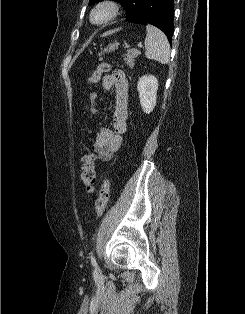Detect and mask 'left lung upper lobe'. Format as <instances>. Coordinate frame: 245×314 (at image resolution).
I'll use <instances>...</instances> for the list:
<instances>
[{"label":"left lung upper lobe","mask_w":245,"mask_h":314,"mask_svg":"<svg viewBox=\"0 0 245 314\" xmlns=\"http://www.w3.org/2000/svg\"><path fill=\"white\" fill-rule=\"evenodd\" d=\"M100 1L103 0H90L89 5H92ZM114 1L119 2L124 7L127 13L126 19H128L129 17H132L138 12L144 0H114Z\"/></svg>","instance_id":"5c2ea615"}]
</instances>
